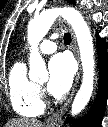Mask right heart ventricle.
Segmentation results:
<instances>
[{
  "mask_svg": "<svg viewBox=\"0 0 108 127\" xmlns=\"http://www.w3.org/2000/svg\"><path fill=\"white\" fill-rule=\"evenodd\" d=\"M9 98L13 110L23 117H37L44 111L38 86L31 81L26 66L17 62L12 67L9 79Z\"/></svg>",
  "mask_w": 108,
  "mask_h": 127,
  "instance_id": "1",
  "label": "right heart ventricle"
}]
</instances>
